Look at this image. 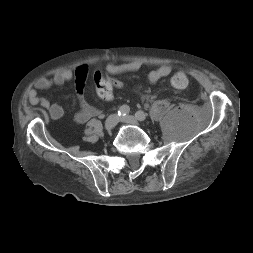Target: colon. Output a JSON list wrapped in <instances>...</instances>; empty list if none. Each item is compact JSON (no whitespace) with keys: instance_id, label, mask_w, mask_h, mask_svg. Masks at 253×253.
Masks as SVG:
<instances>
[{"instance_id":"obj_1","label":"colon","mask_w":253,"mask_h":253,"mask_svg":"<svg viewBox=\"0 0 253 253\" xmlns=\"http://www.w3.org/2000/svg\"><path fill=\"white\" fill-rule=\"evenodd\" d=\"M93 80L96 86L97 95L105 101L113 100L114 89H122L126 87L124 81L116 77V75L108 73L106 68L101 66H98L94 70ZM170 83L175 89H185L189 84V80L184 73H177L171 78Z\"/></svg>"}]
</instances>
